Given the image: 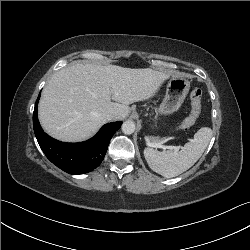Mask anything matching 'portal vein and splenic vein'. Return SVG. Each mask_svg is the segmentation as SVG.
Wrapping results in <instances>:
<instances>
[{"instance_id":"portal-vein-and-splenic-vein-1","label":"portal vein and splenic vein","mask_w":250,"mask_h":250,"mask_svg":"<svg viewBox=\"0 0 250 250\" xmlns=\"http://www.w3.org/2000/svg\"><path fill=\"white\" fill-rule=\"evenodd\" d=\"M163 142H159V143H153L152 146L153 147H156V148H162L163 150H166V149H174V150H177L179 149V147H176V146H165L162 144Z\"/></svg>"}]
</instances>
